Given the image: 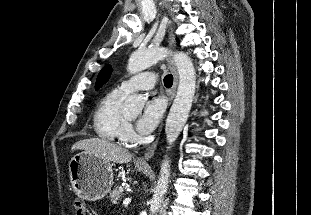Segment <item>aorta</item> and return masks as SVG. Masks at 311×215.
Returning <instances> with one entry per match:
<instances>
[{"mask_svg": "<svg viewBox=\"0 0 311 215\" xmlns=\"http://www.w3.org/2000/svg\"><path fill=\"white\" fill-rule=\"evenodd\" d=\"M168 54V50L162 47L138 49L130 56L127 70L131 74L138 73L164 59ZM173 60L178 70L179 84L165 126L166 140L169 145L176 141L188 119L196 89V72L190 57L184 52H174ZM144 103L142 96L131 95L125 100L122 110L127 115H137L141 113ZM169 177L170 160L165 158L150 202V215L158 212L168 189Z\"/></svg>", "mask_w": 311, "mask_h": 215, "instance_id": "obj_1", "label": "aorta"}]
</instances>
